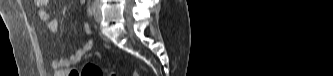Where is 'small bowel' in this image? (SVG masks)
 <instances>
[{
	"instance_id": "1",
	"label": "small bowel",
	"mask_w": 333,
	"mask_h": 76,
	"mask_svg": "<svg viewBox=\"0 0 333 76\" xmlns=\"http://www.w3.org/2000/svg\"><path fill=\"white\" fill-rule=\"evenodd\" d=\"M49 3L47 0H36L35 4L40 9L39 15L41 20L48 23V28L52 32L58 30V24L55 20L50 19V15L46 10V6ZM88 34L91 33V29L88 24L85 25ZM94 46V42L89 38L84 44L79 46L73 54L67 59H54L52 60V68L54 71V76H66L68 70V76H84L80 68H71L78 64L83 56L90 51Z\"/></svg>"
}]
</instances>
